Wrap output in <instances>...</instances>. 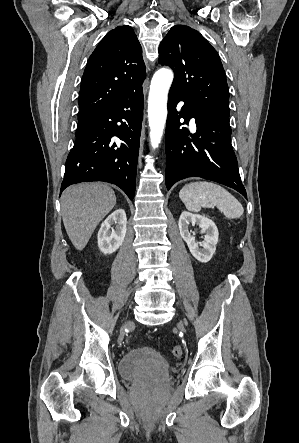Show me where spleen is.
<instances>
[{
  "label": "spleen",
  "instance_id": "spleen-1",
  "mask_svg": "<svg viewBox=\"0 0 299 443\" xmlns=\"http://www.w3.org/2000/svg\"><path fill=\"white\" fill-rule=\"evenodd\" d=\"M179 197L191 212L216 206L229 219L239 218L244 212L242 204L232 194L212 182L189 183L180 190Z\"/></svg>",
  "mask_w": 299,
  "mask_h": 443
}]
</instances>
